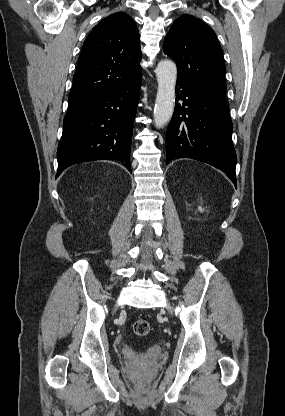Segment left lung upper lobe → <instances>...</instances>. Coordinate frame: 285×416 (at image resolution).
I'll return each mask as SVG.
<instances>
[{
	"label": "left lung upper lobe",
	"instance_id": "left-lung-upper-lobe-1",
	"mask_svg": "<svg viewBox=\"0 0 285 416\" xmlns=\"http://www.w3.org/2000/svg\"><path fill=\"white\" fill-rule=\"evenodd\" d=\"M163 49L177 64V81L226 100L223 51L215 32L203 21L188 14L177 18Z\"/></svg>",
	"mask_w": 285,
	"mask_h": 416
}]
</instances>
